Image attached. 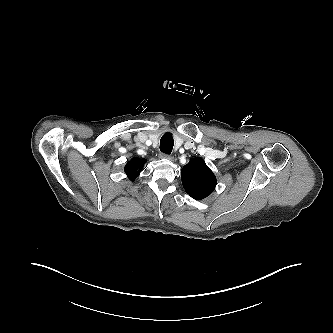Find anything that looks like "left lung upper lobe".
<instances>
[{"label":"left lung upper lobe","mask_w":333,"mask_h":333,"mask_svg":"<svg viewBox=\"0 0 333 333\" xmlns=\"http://www.w3.org/2000/svg\"><path fill=\"white\" fill-rule=\"evenodd\" d=\"M181 179L186 193L196 200L209 196L216 186L215 175L200 157L191 159L183 167Z\"/></svg>","instance_id":"obj_1"}]
</instances>
